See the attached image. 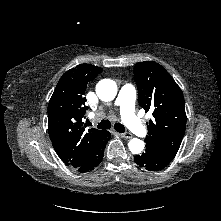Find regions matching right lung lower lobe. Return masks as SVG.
Segmentation results:
<instances>
[{"mask_svg":"<svg viewBox=\"0 0 221 221\" xmlns=\"http://www.w3.org/2000/svg\"><path fill=\"white\" fill-rule=\"evenodd\" d=\"M110 137L111 134L104 130L102 137L98 141L90 157L82 165L76 167L75 169L81 173H85L97 167L103 159L105 145L109 141Z\"/></svg>","mask_w":221,"mask_h":221,"instance_id":"1","label":"right lung lower lobe"}]
</instances>
